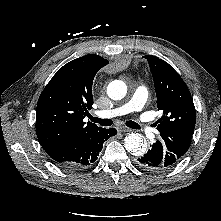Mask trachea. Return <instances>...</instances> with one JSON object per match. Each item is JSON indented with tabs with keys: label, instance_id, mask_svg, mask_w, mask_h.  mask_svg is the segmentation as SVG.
I'll use <instances>...</instances> for the list:
<instances>
[{
	"label": "trachea",
	"instance_id": "1",
	"mask_svg": "<svg viewBox=\"0 0 221 221\" xmlns=\"http://www.w3.org/2000/svg\"><path fill=\"white\" fill-rule=\"evenodd\" d=\"M90 120L102 126H111L113 124V121L111 119H100L98 117L91 116ZM126 125L132 129H140V126L134 121H126Z\"/></svg>",
	"mask_w": 221,
	"mask_h": 221
}]
</instances>
